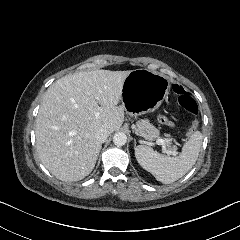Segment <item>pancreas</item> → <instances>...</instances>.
<instances>
[{"mask_svg": "<svg viewBox=\"0 0 240 240\" xmlns=\"http://www.w3.org/2000/svg\"><path fill=\"white\" fill-rule=\"evenodd\" d=\"M135 134L137 136H142L144 139L153 141L159 136V130L152 126L148 118L138 119L136 121ZM172 141H176L172 139ZM165 150L170 152L177 151V145H173L172 142L165 144Z\"/></svg>", "mask_w": 240, "mask_h": 240, "instance_id": "pancreas-1", "label": "pancreas"}]
</instances>
